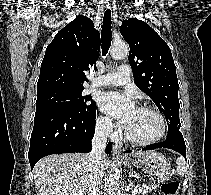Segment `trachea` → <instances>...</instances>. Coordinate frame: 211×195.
<instances>
[{
	"mask_svg": "<svg viewBox=\"0 0 211 195\" xmlns=\"http://www.w3.org/2000/svg\"><path fill=\"white\" fill-rule=\"evenodd\" d=\"M111 25H112L111 10L107 9L104 13L103 25H102V31H101L103 56H106L111 46V40H112V31H111L112 26Z\"/></svg>",
	"mask_w": 211,
	"mask_h": 195,
	"instance_id": "obj_1",
	"label": "trachea"
}]
</instances>
